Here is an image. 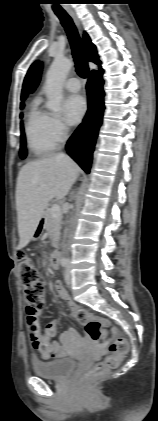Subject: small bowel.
Here are the masks:
<instances>
[{"label": "small bowel", "mask_w": 158, "mask_h": 421, "mask_svg": "<svg viewBox=\"0 0 158 421\" xmlns=\"http://www.w3.org/2000/svg\"><path fill=\"white\" fill-rule=\"evenodd\" d=\"M54 291L58 298L66 303L69 308L70 315L76 319L79 323L81 314H89L85 310L81 309L67 294L65 287L61 282L54 284ZM28 314V331L31 340L32 347L40 353L46 350L49 355L52 354L55 357H63L65 350L62 345H68L73 342L85 343V340L81 339L74 329H68L64 331L59 338V342L51 341L57 333V322L49 323L44 333L41 332L36 315L27 310ZM82 324V323H81Z\"/></svg>", "instance_id": "obj_1"}]
</instances>
